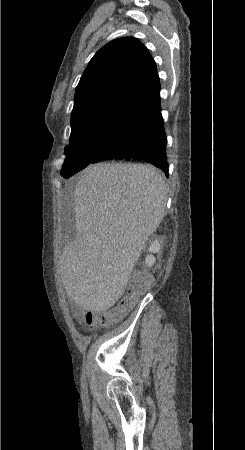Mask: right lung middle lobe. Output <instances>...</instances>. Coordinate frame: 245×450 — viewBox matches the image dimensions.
Returning <instances> with one entry per match:
<instances>
[{"mask_svg":"<svg viewBox=\"0 0 245 450\" xmlns=\"http://www.w3.org/2000/svg\"><path fill=\"white\" fill-rule=\"evenodd\" d=\"M139 112L115 105L83 108L72 116L69 149L61 176L69 178L100 153H106L129 136Z\"/></svg>","mask_w":245,"mask_h":450,"instance_id":"obj_1","label":"right lung middle lobe"}]
</instances>
